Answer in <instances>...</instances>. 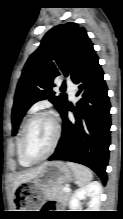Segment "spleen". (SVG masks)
Returning <instances> with one entry per match:
<instances>
[{"label": "spleen", "instance_id": "3e777b00", "mask_svg": "<svg viewBox=\"0 0 123 219\" xmlns=\"http://www.w3.org/2000/svg\"><path fill=\"white\" fill-rule=\"evenodd\" d=\"M67 165L73 171L79 186H85L93 179L92 171L89 168L72 162H68Z\"/></svg>", "mask_w": 123, "mask_h": 219}]
</instances>
